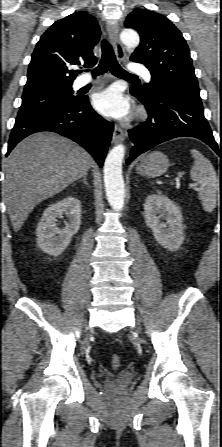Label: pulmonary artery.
<instances>
[{
  "label": "pulmonary artery",
  "mask_w": 222,
  "mask_h": 447,
  "mask_svg": "<svg viewBox=\"0 0 222 447\" xmlns=\"http://www.w3.org/2000/svg\"><path fill=\"white\" fill-rule=\"evenodd\" d=\"M130 71L133 74H139V75L144 76L148 81L151 80V75H150L149 70L145 66H143L139 63L132 64L130 66ZM98 82H99L98 79H92L90 76L84 75L74 81L73 88L80 89V88L87 86L89 84H97Z\"/></svg>",
  "instance_id": "e3ab8cb5"
}]
</instances>
